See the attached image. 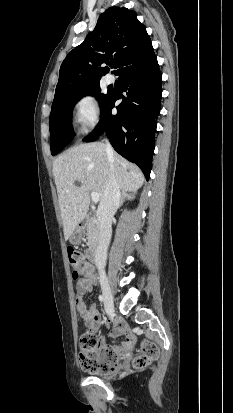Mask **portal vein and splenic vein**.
<instances>
[{"mask_svg": "<svg viewBox=\"0 0 233 413\" xmlns=\"http://www.w3.org/2000/svg\"><path fill=\"white\" fill-rule=\"evenodd\" d=\"M91 198H92V201L95 203H97L100 200L99 194L94 191L91 192Z\"/></svg>", "mask_w": 233, "mask_h": 413, "instance_id": "18ae733b", "label": "portal vein and splenic vein"}]
</instances>
